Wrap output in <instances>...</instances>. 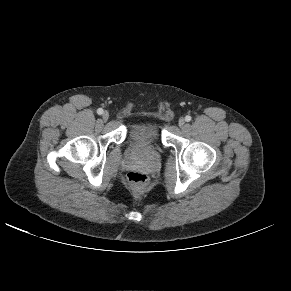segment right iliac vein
<instances>
[{
  "label": "right iliac vein",
  "mask_w": 291,
  "mask_h": 291,
  "mask_svg": "<svg viewBox=\"0 0 291 291\" xmlns=\"http://www.w3.org/2000/svg\"><path fill=\"white\" fill-rule=\"evenodd\" d=\"M102 118H103L104 121H107L108 118H109V113L107 111L103 112Z\"/></svg>",
  "instance_id": "obj_1"
}]
</instances>
